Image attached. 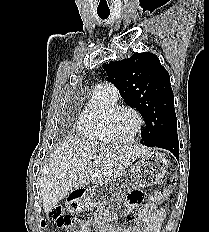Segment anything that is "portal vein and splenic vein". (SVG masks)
<instances>
[{
  "mask_svg": "<svg viewBox=\"0 0 209 232\" xmlns=\"http://www.w3.org/2000/svg\"><path fill=\"white\" fill-rule=\"evenodd\" d=\"M98 162L97 161H93V164L96 165Z\"/></svg>",
  "mask_w": 209,
  "mask_h": 232,
  "instance_id": "1",
  "label": "portal vein and splenic vein"
}]
</instances>
